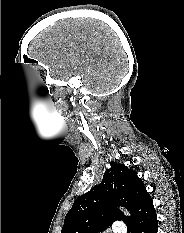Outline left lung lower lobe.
Segmentation results:
<instances>
[{
    "label": "left lung lower lobe",
    "instance_id": "obj_1",
    "mask_svg": "<svg viewBox=\"0 0 184 233\" xmlns=\"http://www.w3.org/2000/svg\"><path fill=\"white\" fill-rule=\"evenodd\" d=\"M126 225L128 233H157V215L148 192L136 205L131 219L126 222Z\"/></svg>",
    "mask_w": 184,
    "mask_h": 233
}]
</instances>
